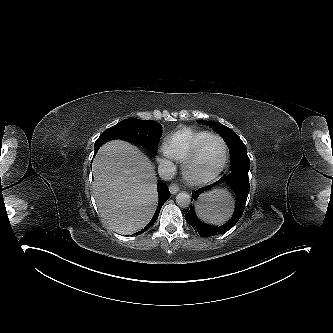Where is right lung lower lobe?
Here are the masks:
<instances>
[{
  "label": "right lung lower lobe",
  "instance_id": "right-lung-lower-lobe-1",
  "mask_svg": "<svg viewBox=\"0 0 333 333\" xmlns=\"http://www.w3.org/2000/svg\"><path fill=\"white\" fill-rule=\"evenodd\" d=\"M113 139H122V140H126L128 142H130L129 140H127L126 138L115 134V133H109L104 131L101 136L96 140L95 145H94V151L96 155V153L98 152L99 148L106 143L107 141L113 140ZM158 194H159V203L156 209V212L152 218V220L148 223V225L146 227H144L143 230L139 231L138 233H135L133 235H140L142 233H144L146 230H148L157 220L158 216H159V212L161 210L162 205L168 200V198L170 197V192L169 189L166 185L164 184H159L158 185Z\"/></svg>",
  "mask_w": 333,
  "mask_h": 333
}]
</instances>
